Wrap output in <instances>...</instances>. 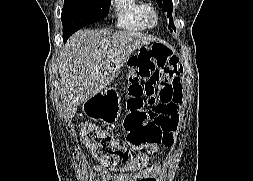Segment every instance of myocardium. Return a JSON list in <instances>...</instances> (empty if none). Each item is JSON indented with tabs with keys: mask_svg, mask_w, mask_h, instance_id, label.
<instances>
[{
	"mask_svg": "<svg viewBox=\"0 0 253 181\" xmlns=\"http://www.w3.org/2000/svg\"><path fill=\"white\" fill-rule=\"evenodd\" d=\"M141 20L146 28H155L159 23V12L152 3H145L140 12Z\"/></svg>",
	"mask_w": 253,
	"mask_h": 181,
	"instance_id": "myocardium-1",
	"label": "myocardium"
}]
</instances>
